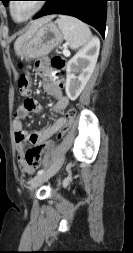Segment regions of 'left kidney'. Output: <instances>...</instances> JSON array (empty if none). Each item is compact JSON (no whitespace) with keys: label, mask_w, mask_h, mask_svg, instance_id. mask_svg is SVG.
<instances>
[{"label":"left kidney","mask_w":133,"mask_h":253,"mask_svg":"<svg viewBox=\"0 0 133 253\" xmlns=\"http://www.w3.org/2000/svg\"><path fill=\"white\" fill-rule=\"evenodd\" d=\"M100 50V41L93 38L66 65L65 90L70 100H76L90 79Z\"/></svg>","instance_id":"obj_1"}]
</instances>
